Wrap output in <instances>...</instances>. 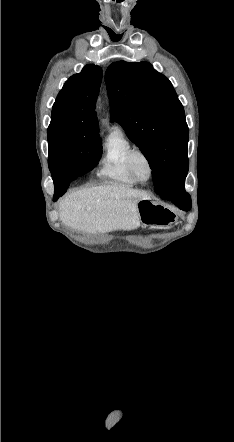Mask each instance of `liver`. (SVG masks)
Listing matches in <instances>:
<instances>
[{"mask_svg":"<svg viewBox=\"0 0 234 442\" xmlns=\"http://www.w3.org/2000/svg\"><path fill=\"white\" fill-rule=\"evenodd\" d=\"M144 192L123 185H101L68 194L59 204L60 220L85 233L135 230L140 226L137 203Z\"/></svg>","mask_w":234,"mask_h":442,"instance_id":"liver-1","label":"liver"}]
</instances>
